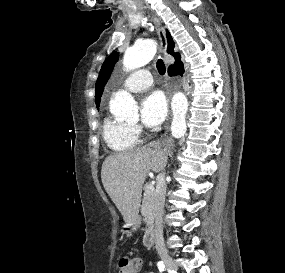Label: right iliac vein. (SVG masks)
I'll use <instances>...</instances> for the list:
<instances>
[{"label":"right iliac vein","instance_id":"obj_1","mask_svg":"<svg viewBox=\"0 0 285 273\" xmlns=\"http://www.w3.org/2000/svg\"><path fill=\"white\" fill-rule=\"evenodd\" d=\"M160 256L169 269L177 271V264L167 253H161Z\"/></svg>","mask_w":285,"mask_h":273}]
</instances>
